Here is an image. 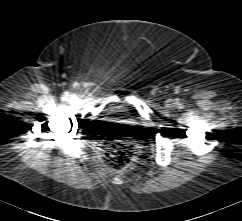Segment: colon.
Masks as SVG:
<instances>
[{"instance_id": "colon-1", "label": "colon", "mask_w": 242, "mask_h": 221, "mask_svg": "<svg viewBox=\"0 0 242 221\" xmlns=\"http://www.w3.org/2000/svg\"><path fill=\"white\" fill-rule=\"evenodd\" d=\"M102 153L107 166L114 170H120L132 162L135 148L130 141L113 140L102 145Z\"/></svg>"}]
</instances>
